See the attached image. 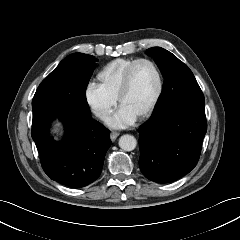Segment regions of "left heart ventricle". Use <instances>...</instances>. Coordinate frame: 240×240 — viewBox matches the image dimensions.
<instances>
[{
  "label": "left heart ventricle",
  "mask_w": 240,
  "mask_h": 240,
  "mask_svg": "<svg viewBox=\"0 0 240 240\" xmlns=\"http://www.w3.org/2000/svg\"><path fill=\"white\" fill-rule=\"evenodd\" d=\"M157 91V77L152 66L142 62L131 76V87L121 106L138 117L152 102Z\"/></svg>",
  "instance_id": "b2bd125f"
}]
</instances>
